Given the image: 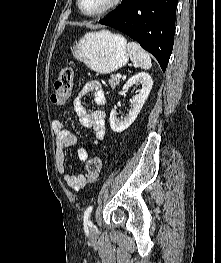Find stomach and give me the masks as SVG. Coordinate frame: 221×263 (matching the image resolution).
Segmentation results:
<instances>
[{
    "label": "stomach",
    "mask_w": 221,
    "mask_h": 263,
    "mask_svg": "<svg viewBox=\"0 0 221 263\" xmlns=\"http://www.w3.org/2000/svg\"><path fill=\"white\" fill-rule=\"evenodd\" d=\"M73 56L100 74H108L128 62L126 40L108 30L87 33L72 49Z\"/></svg>",
    "instance_id": "0dacf381"
}]
</instances>
